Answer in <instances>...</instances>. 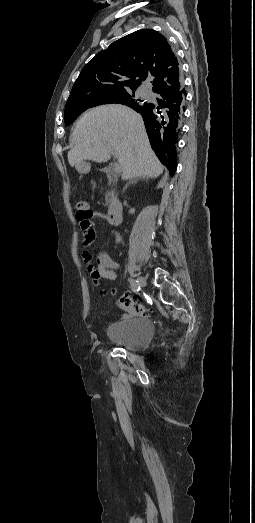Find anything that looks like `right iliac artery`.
I'll return each instance as SVG.
<instances>
[{"label":"right iliac artery","mask_w":255,"mask_h":523,"mask_svg":"<svg viewBox=\"0 0 255 523\" xmlns=\"http://www.w3.org/2000/svg\"><path fill=\"white\" fill-rule=\"evenodd\" d=\"M130 287L134 292H138L140 290L139 282L134 279L130 280Z\"/></svg>","instance_id":"obj_1"}]
</instances>
